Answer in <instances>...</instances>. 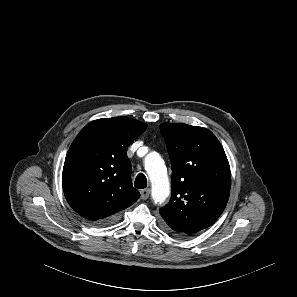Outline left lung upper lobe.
Returning a JSON list of instances; mask_svg holds the SVG:
<instances>
[{"label":"left lung upper lobe","instance_id":"1","mask_svg":"<svg viewBox=\"0 0 297 297\" xmlns=\"http://www.w3.org/2000/svg\"><path fill=\"white\" fill-rule=\"evenodd\" d=\"M172 165V197L160 209L162 225L180 237L211 226L229 199L231 173L224 149L202 127L162 123Z\"/></svg>","mask_w":297,"mask_h":297}]
</instances>
